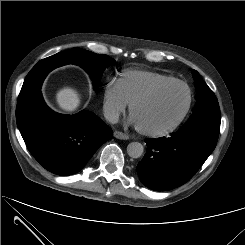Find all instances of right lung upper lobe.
Segmentation results:
<instances>
[{
  "mask_svg": "<svg viewBox=\"0 0 245 245\" xmlns=\"http://www.w3.org/2000/svg\"><path fill=\"white\" fill-rule=\"evenodd\" d=\"M56 67L58 66L51 60V57H48V58H45L39 61L34 66V69L36 70V75L32 76V73L29 72V74L25 78L24 84H27L30 82L32 93L39 92L41 84L44 78L46 77V75Z\"/></svg>",
  "mask_w": 245,
  "mask_h": 245,
  "instance_id": "1",
  "label": "right lung upper lobe"
}]
</instances>
